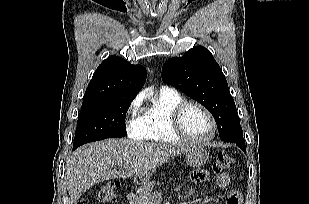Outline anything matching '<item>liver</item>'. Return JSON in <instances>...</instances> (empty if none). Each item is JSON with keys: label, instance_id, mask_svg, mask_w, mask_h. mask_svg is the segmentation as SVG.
<instances>
[{"label": "liver", "instance_id": "1", "mask_svg": "<svg viewBox=\"0 0 309 204\" xmlns=\"http://www.w3.org/2000/svg\"><path fill=\"white\" fill-rule=\"evenodd\" d=\"M187 150L188 147L126 138L81 146L66 162L67 191L71 201L76 202L85 191L98 183L147 173Z\"/></svg>", "mask_w": 309, "mask_h": 204}]
</instances>
